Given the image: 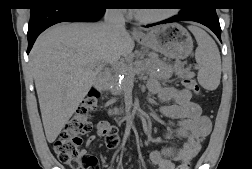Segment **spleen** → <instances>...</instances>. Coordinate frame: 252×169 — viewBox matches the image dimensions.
<instances>
[{"mask_svg":"<svg viewBox=\"0 0 252 169\" xmlns=\"http://www.w3.org/2000/svg\"><path fill=\"white\" fill-rule=\"evenodd\" d=\"M194 35L198 47L195 51V59L199 66L197 79L206 90H215L221 79V58L215 41L197 26H189Z\"/></svg>","mask_w":252,"mask_h":169,"instance_id":"1","label":"spleen"}]
</instances>
